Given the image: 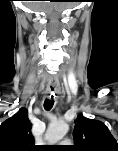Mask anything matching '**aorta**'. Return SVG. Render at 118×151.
I'll return each mask as SVG.
<instances>
[{"label": "aorta", "mask_w": 118, "mask_h": 151, "mask_svg": "<svg viewBox=\"0 0 118 151\" xmlns=\"http://www.w3.org/2000/svg\"><path fill=\"white\" fill-rule=\"evenodd\" d=\"M69 125L64 121L51 123L45 133V139L50 145L59 142L67 134Z\"/></svg>", "instance_id": "obj_1"}]
</instances>
